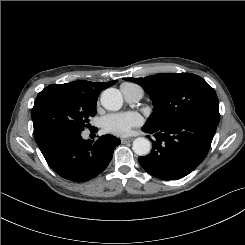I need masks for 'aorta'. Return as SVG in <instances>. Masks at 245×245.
Wrapping results in <instances>:
<instances>
[{
	"instance_id": "aorta-1",
	"label": "aorta",
	"mask_w": 245,
	"mask_h": 245,
	"mask_svg": "<svg viewBox=\"0 0 245 245\" xmlns=\"http://www.w3.org/2000/svg\"><path fill=\"white\" fill-rule=\"evenodd\" d=\"M100 101L104 108L111 111H117L123 105L122 95L120 91L115 88H109L103 91ZM150 149L151 143L147 138L138 137L133 141V151L139 156L148 154Z\"/></svg>"
}]
</instances>
